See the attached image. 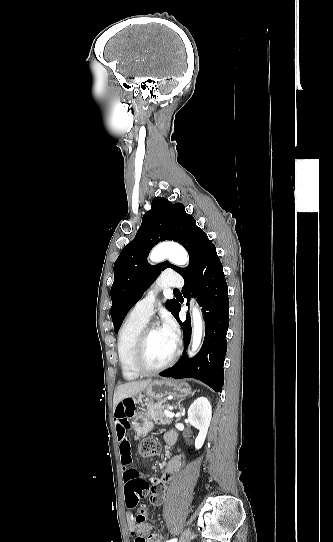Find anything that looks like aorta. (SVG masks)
Returning <instances> with one entry per match:
<instances>
[{"instance_id":"aorta-1","label":"aorta","mask_w":333,"mask_h":542,"mask_svg":"<svg viewBox=\"0 0 333 542\" xmlns=\"http://www.w3.org/2000/svg\"><path fill=\"white\" fill-rule=\"evenodd\" d=\"M163 258H169L170 262L177 264V266H185L188 264L189 256L184 250L183 246L179 244H162L155 248L150 254L151 262H161ZM192 350L190 352L191 356L197 354L203 336V324L201 318V312L198 308H192Z\"/></svg>"}]
</instances>
